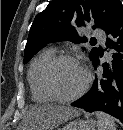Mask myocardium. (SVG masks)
Returning <instances> with one entry per match:
<instances>
[{"mask_svg": "<svg viewBox=\"0 0 123 130\" xmlns=\"http://www.w3.org/2000/svg\"><path fill=\"white\" fill-rule=\"evenodd\" d=\"M64 61H75L79 63L83 67L86 75V79L83 86L76 93L68 96L61 94L55 83L56 70L59 67V65ZM91 81H92V75L91 72L88 70V68L82 65L79 59H77L75 56L67 53L56 55L53 58V60L49 63L45 72V85L48 92L51 94L54 100L63 103L75 101L79 99L81 96H83L85 92L88 90Z\"/></svg>", "mask_w": 123, "mask_h": 130, "instance_id": "f54148a6", "label": "myocardium"}]
</instances>
